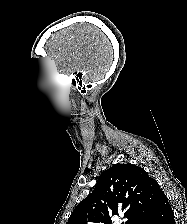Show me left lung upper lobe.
<instances>
[{
	"label": "left lung upper lobe",
	"mask_w": 187,
	"mask_h": 224,
	"mask_svg": "<svg viewBox=\"0 0 187 224\" xmlns=\"http://www.w3.org/2000/svg\"><path fill=\"white\" fill-rule=\"evenodd\" d=\"M161 192L143 168L116 164L101 173L92 193L76 206L66 224H111V217L122 213L126 224H145Z\"/></svg>",
	"instance_id": "obj_1"
}]
</instances>
